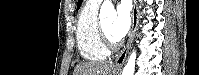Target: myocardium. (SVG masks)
I'll return each instance as SVG.
<instances>
[{
  "mask_svg": "<svg viewBox=\"0 0 199 75\" xmlns=\"http://www.w3.org/2000/svg\"><path fill=\"white\" fill-rule=\"evenodd\" d=\"M98 29H99L101 40L107 49L113 50L118 47L119 45L118 41L112 40L108 37L101 23H99Z\"/></svg>",
  "mask_w": 199,
  "mask_h": 75,
  "instance_id": "obj_1",
  "label": "myocardium"
}]
</instances>
